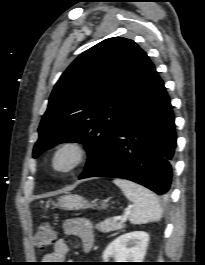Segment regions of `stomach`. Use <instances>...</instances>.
I'll return each instance as SVG.
<instances>
[{"mask_svg":"<svg viewBox=\"0 0 205 265\" xmlns=\"http://www.w3.org/2000/svg\"><path fill=\"white\" fill-rule=\"evenodd\" d=\"M97 206V204L93 202H88L85 198L77 194H67L61 196L58 199V203L56 207L62 208L64 210H81L86 208H93ZM102 207H106V202L104 201L101 205Z\"/></svg>","mask_w":205,"mask_h":265,"instance_id":"obj_1","label":"stomach"}]
</instances>
